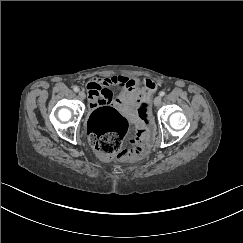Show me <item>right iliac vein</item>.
Masks as SVG:
<instances>
[{
    "mask_svg": "<svg viewBox=\"0 0 243 243\" xmlns=\"http://www.w3.org/2000/svg\"><path fill=\"white\" fill-rule=\"evenodd\" d=\"M79 97L81 99H85V93H84V91H79Z\"/></svg>",
    "mask_w": 243,
    "mask_h": 243,
    "instance_id": "obj_1",
    "label": "right iliac vein"
}]
</instances>
